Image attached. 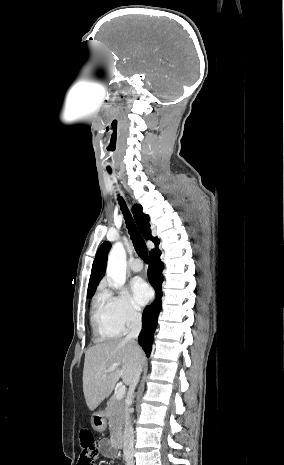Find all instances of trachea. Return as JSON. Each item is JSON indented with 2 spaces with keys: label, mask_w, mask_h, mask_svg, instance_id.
<instances>
[{
  "label": "trachea",
  "mask_w": 284,
  "mask_h": 465,
  "mask_svg": "<svg viewBox=\"0 0 284 465\" xmlns=\"http://www.w3.org/2000/svg\"><path fill=\"white\" fill-rule=\"evenodd\" d=\"M107 171L109 174L112 173V170L108 169ZM118 200L124 215L126 227L128 228V233L130 234V238L132 240V243L134 244L135 250L139 257L147 263V247L145 241L139 233V230L137 229L135 222L131 216V213L129 212L124 200L122 199V197H118Z\"/></svg>",
  "instance_id": "obj_1"
}]
</instances>
